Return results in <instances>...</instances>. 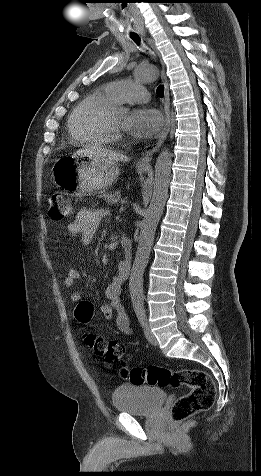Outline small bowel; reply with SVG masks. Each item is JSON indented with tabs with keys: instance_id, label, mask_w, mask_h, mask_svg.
Returning <instances> with one entry per match:
<instances>
[{
	"instance_id": "1",
	"label": "small bowel",
	"mask_w": 261,
	"mask_h": 476,
	"mask_svg": "<svg viewBox=\"0 0 261 476\" xmlns=\"http://www.w3.org/2000/svg\"><path fill=\"white\" fill-rule=\"evenodd\" d=\"M106 215L107 213L103 209H81L76 214L74 221L67 226V234L63 243L64 247L68 248L77 236H80L83 244H90ZM128 275L129 273L123 270L120 263L112 281L105 289V297L108 301L100 306V312L103 317L107 320H112L117 330L125 335L132 334L129 316L122 302V286L127 280ZM79 277V271L69 267L63 281L64 286L67 288L72 287ZM70 299L74 303H79L82 301V296L79 292H73Z\"/></svg>"
}]
</instances>
